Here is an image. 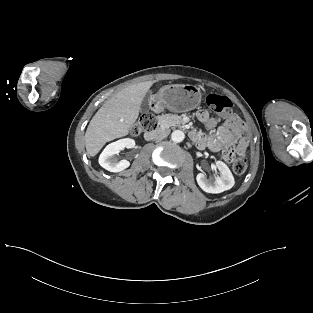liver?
<instances>
[{
	"label": "liver",
	"mask_w": 313,
	"mask_h": 313,
	"mask_svg": "<svg viewBox=\"0 0 313 313\" xmlns=\"http://www.w3.org/2000/svg\"><path fill=\"white\" fill-rule=\"evenodd\" d=\"M155 81L128 86L108 99L91 119L86 133L87 154L94 157L105 143L129 134L142 101Z\"/></svg>",
	"instance_id": "obj_1"
}]
</instances>
